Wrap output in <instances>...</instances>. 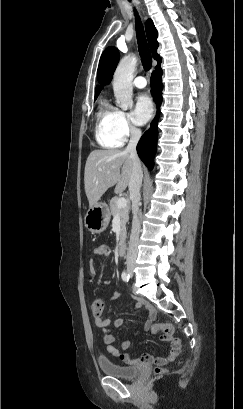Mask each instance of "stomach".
Masks as SVG:
<instances>
[{
    "label": "stomach",
    "mask_w": 243,
    "mask_h": 409,
    "mask_svg": "<svg viewBox=\"0 0 243 409\" xmlns=\"http://www.w3.org/2000/svg\"><path fill=\"white\" fill-rule=\"evenodd\" d=\"M110 217L108 206L104 203H97L87 211L84 218L85 227L91 233H101L107 228Z\"/></svg>",
    "instance_id": "0dacf381"
}]
</instances>
